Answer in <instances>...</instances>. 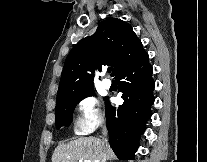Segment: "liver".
Here are the masks:
<instances>
[{
	"mask_svg": "<svg viewBox=\"0 0 207 162\" xmlns=\"http://www.w3.org/2000/svg\"><path fill=\"white\" fill-rule=\"evenodd\" d=\"M104 157L107 160L115 157L108 144L96 137H80L69 143L58 145L51 160L52 162H77L78 160L100 162Z\"/></svg>",
	"mask_w": 207,
	"mask_h": 162,
	"instance_id": "6515ba94",
	"label": "liver"
}]
</instances>
